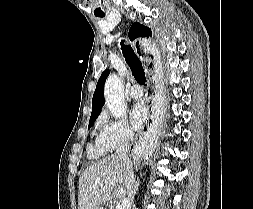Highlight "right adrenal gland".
<instances>
[{"label":"right adrenal gland","mask_w":253,"mask_h":209,"mask_svg":"<svg viewBox=\"0 0 253 209\" xmlns=\"http://www.w3.org/2000/svg\"><path fill=\"white\" fill-rule=\"evenodd\" d=\"M139 180L135 181V191L137 192L139 189Z\"/></svg>","instance_id":"right-adrenal-gland-1"}]
</instances>
